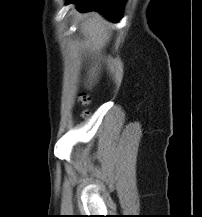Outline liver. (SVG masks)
<instances>
[{
  "label": "liver",
  "mask_w": 202,
  "mask_h": 217,
  "mask_svg": "<svg viewBox=\"0 0 202 217\" xmlns=\"http://www.w3.org/2000/svg\"><path fill=\"white\" fill-rule=\"evenodd\" d=\"M108 30V22L104 20L100 15L86 14L82 19L81 33L85 37L88 47H90L94 51L100 52V50L105 47L106 43L110 38V33ZM96 67L91 69L90 77L96 78ZM90 80V84L92 85V79L90 78Z\"/></svg>",
  "instance_id": "6515ba94"
}]
</instances>
